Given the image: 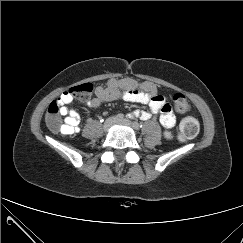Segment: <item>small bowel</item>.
Returning a JSON list of instances; mask_svg holds the SVG:
<instances>
[{
    "mask_svg": "<svg viewBox=\"0 0 243 243\" xmlns=\"http://www.w3.org/2000/svg\"><path fill=\"white\" fill-rule=\"evenodd\" d=\"M117 99L149 106V111L135 110L131 112L129 115L132 118L146 121L152 115L160 114L159 120L164 128L170 129L176 123V118L169 108L166 96L160 94L157 87L151 82H139L132 78H111L105 86L96 88L95 96L86 101V104L95 108L103 102ZM73 100L74 96L69 91L62 93L57 99L61 104L60 114L64 116L60 131L64 135H74L80 131V117L75 110L68 107Z\"/></svg>",
    "mask_w": 243,
    "mask_h": 243,
    "instance_id": "small-bowel-1",
    "label": "small bowel"
}]
</instances>
